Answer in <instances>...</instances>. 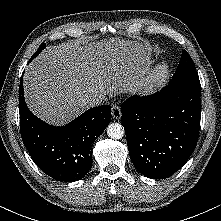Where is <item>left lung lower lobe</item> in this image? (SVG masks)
<instances>
[{"instance_id":"left-lung-lower-lobe-1","label":"left lung lower lobe","mask_w":221,"mask_h":221,"mask_svg":"<svg viewBox=\"0 0 221 221\" xmlns=\"http://www.w3.org/2000/svg\"><path fill=\"white\" fill-rule=\"evenodd\" d=\"M200 97V84H169L122 104L130 158L145 177L167 178L187 162L198 141Z\"/></svg>"}]
</instances>
